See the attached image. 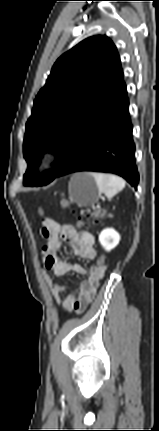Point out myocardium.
Instances as JSON below:
<instances>
[{
  "label": "myocardium",
  "instance_id": "f54148a6",
  "mask_svg": "<svg viewBox=\"0 0 159 431\" xmlns=\"http://www.w3.org/2000/svg\"><path fill=\"white\" fill-rule=\"evenodd\" d=\"M55 155L51 151H44L39 155V165L42 168H50L54 162Z\"/></svg>",
  "mask_w": 159,
  "mask_h": 431
}]
</instances>
